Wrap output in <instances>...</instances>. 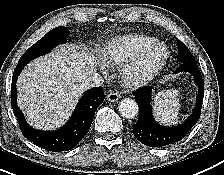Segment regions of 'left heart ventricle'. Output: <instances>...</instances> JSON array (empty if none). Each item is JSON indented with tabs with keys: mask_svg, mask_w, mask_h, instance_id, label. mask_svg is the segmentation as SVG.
I'll return each instance as SVG.
<instances>
[{
	"mask_svg": "<svg viewBox=\"0 0 224 175\" xmlns=\"http://www.w3.org/2000/svg\"><path fill=\"white\" fill-rule=\"evenodd\" d=\"M161 56H162V50L161 49L153 50L152 52H150L147 55V57L144 61L143 67L144 68H150V67L154 66L159 61Z\"/></svg>",
	"mask_w": 224,
	"mask_h": 175,
	"instance_id": "obj_1",
	"label": "left heart ventricle"
}]
</instances>
